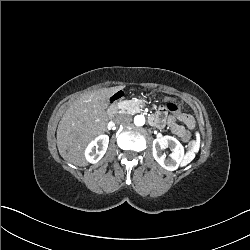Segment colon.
<instances>
[{"mask_svg": "<svg viewBox=\"0 0 250 250\" xmlns=\"http://www.w3.org/2000/svg\"><path fill=\"white\" fill-rule=\"evenodd\" d=\"M122 91H119L115 96H122ZM166 109L172 114H175L176 116L180 114V104L175 103V102H169L166 104ZM185 124H187L189 127L194 126V121L190 116H181L180 118ZM192 134L185 130L181 134V139L184 143H189L190 140L192 139Z\"/></svg>", "mask_w": 250, "mask_h": 250, "instance_id": "5ec220e1", "label": "colon"}]
</instances>
